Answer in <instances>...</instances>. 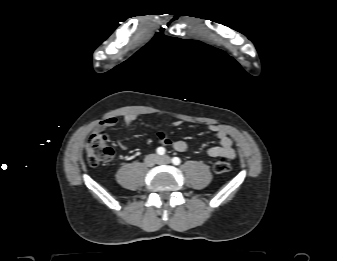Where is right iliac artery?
<instances>
[{"label": "right iliac artery", "instance_id": "82829eb1", "mask_svg": "<svg viewBox=\"0 0 337 261\" xmlns=\"http://www.w3.org/2000/svg\"><path fill=\"white\" fill-rule=\"evenodd\" d=\"M157 154L159 155H164L165 154V149L163 147H158L156 150Z\"/></svg>", "mask_w": 337, "mask_h": 261}]
</instances>
